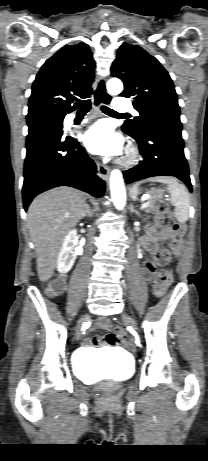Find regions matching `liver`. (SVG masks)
<instances>
[{
    "label": "liver",
    "mask_w": 208,
    "mask_h": 461,
    "mask_svg": "<svg viewBox=\"0 0 208 461\" xmlns=\"http://www.w3.org/2000/svg\"><path fill=\"white\" fill-rule=\"evenodd\" d=\"M87 205L84 194L69 187L51 189L32 201L27 222L36 248L40 281L52 277L64 238L86 214Z\"/></svg>",
    "instance_id": "liver-1"
}]
</instances>
